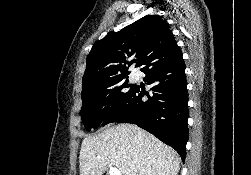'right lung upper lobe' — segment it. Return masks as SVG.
<instances>
[{
    "label": "right lung upper lobe",
    "instance_id": "cb5924a9",
    "mask_svg": "<svg viewBox=\"0 0 251 175\" xmlns=\"http://www.w3.org/2000/svg\"><path fill=\"white\" fill-rule=\"evenodd\" d=\"M182 58L167 21L160 15H146L119 32H109L96 41L87 56L83 88L102 86L127 76L134 62L146 73ZM120 73L115 79L111 75Z\"/></svg>",
    "mask_w": 251,
    "mask_h": 175
}]
</instances>
